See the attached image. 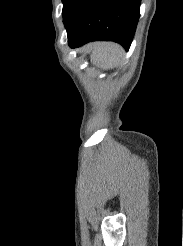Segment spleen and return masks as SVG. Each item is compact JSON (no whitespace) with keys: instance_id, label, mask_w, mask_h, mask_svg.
<instances>
[{"instance_id":"spleen-1","label":"spleen","mask_w":183,"mask_h":246,"mask_svg":"<svg viewBox=\"0 0 183 246\" xmlns=\"http://www.w3.org/2000/svg\"><path fill=\"white\" fill-rule=\"evenodd\" d=\"M122 58V48L116 44L107 43L100 47L96 61L107 69L117 65L122 60Z\"/></svg>"}]
</instances>
